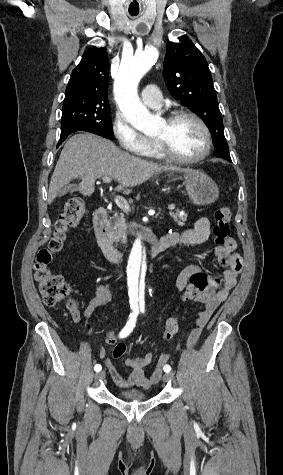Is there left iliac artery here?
Returning a JSON list of instances; mask_svg holds the SVG:
<instances>
[{
    "label": "left iliac artery",
    "mask_w": 283,
    "mask_h": 475,
    "mask_svg": "<svg viewBox=\"0 0 283 475\" xmlns=\"http://www.w3.org/2000/svg\"><path fill=\"white\" fill-rule=\"evenodd\" d=\"M141 311L144 312V306L141 307ZM163 369L166 373H169L171 371V367L169 365H165Z\"/></svg>",
    "instance_id": "left-iliac-artery-1"
}]
</instances>
